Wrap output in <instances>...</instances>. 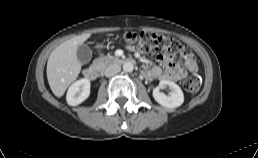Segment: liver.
<instances>
[{"mask_svg":"<svg viewBox=\"0 0 258 158\" xmlns=\"http://www.w3.org/2000/svg\"><path fill=\"white\" fill-rule=\"evenodd\" d=\"M89 37V33L75 36L51 52L47 62V79L55 96H63L68 86L78 77L81 64L77 58V49Z\"/></svg>","mask_w":258,"mask_h":158,"instance_id":"liver-1","label":"liver"}]
</instances>
